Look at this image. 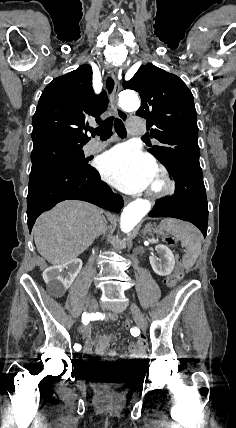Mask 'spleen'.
Here are the masks:
<instances>
[{
  "label": "spleen",
  "mask_w": 236,
  "mask_h": 428,
  "mask_svg": "<svg viewBox=\"0 0 236 428\" xmlns=\"http://www.w3.org/2000/svg\"><path fill=\"white\" fill-rule=\"evenodd\" d=\"M160 228L175 236L177 240H181L182 246L186 248V254L183 256V264L192 268L201 250L199 230L195 226H192V224L175 220V218H166V220L161 222Z\"/></svg>",
  "instance_id": "obj_1"
}]
</instances>
